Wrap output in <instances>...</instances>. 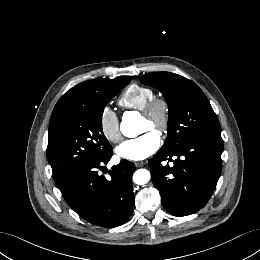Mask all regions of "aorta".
I'll return each mask as SVG.
<instances>
[{
    "label": "aorta",
    "instance_id": "obj_1",
    "mask_svg": "<svg viewBox=\"0 0 260 260\" xmlns=\"http://www.w3.org/2000/svg\"><path fill=\"white\" fill-rule=\"evenodd\" d=\"M120 130L123 135L130 138L136 137L141 131L137 120L128 115L123 116L120 124ZM150 178L151 175L147 169H138L133 174V181L137 185H144L148 183Z\"/></svg>",
    "mask_w": 260,
    "mask_h": 260
}]
</instances>
